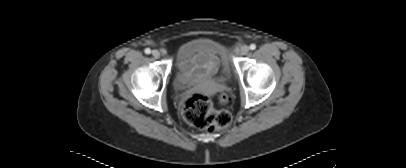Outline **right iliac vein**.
Returning <instances> with one entry per match:
<instances>
[{
  "instance_id": "1",
  "label": "right iliac vein",
  "mask_w": 406,
  "mask_h": 168,
  "mask_svg": "<svg viewBox=\"0 0 406 168\" xmlns=\"http://www.w3.org/2000/svg\"><path fill=\"white\" fill-rule=\"evenodd\" d=\"M152 55L155 57V58H159L160 57V55H161V53L158 51V50H153L152 51Z\"/></svg>"
}]
</instances>
